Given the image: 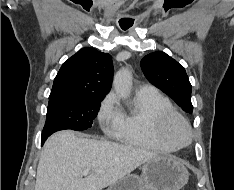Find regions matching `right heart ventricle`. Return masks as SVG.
Masks as SVG:
<instances>
[{"instance_id":"e07e8e85","label":"right heart ventricle","mask_w":234,"mask_h":190,"mask_svg":"<svg viewBox=\"0 0 234 190\" xmlns=\"http://www.w3.org/2000/svg\"><path fill=\"white\" fill-rule=\"evenodd\" d=\"M170 100L159 91L136 93L128 111L119 110L116 137L121 142L136 148L160 152L175 151L158 134V121L167 111H172Z\"/></svg>"}]
</instances>
